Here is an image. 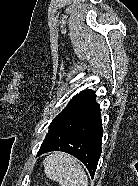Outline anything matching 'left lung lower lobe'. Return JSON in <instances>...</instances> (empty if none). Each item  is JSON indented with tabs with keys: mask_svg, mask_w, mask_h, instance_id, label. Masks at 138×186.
Masks as SVG:
<instances>
[{
	"mask_svg": "<svg viewBox=\"0 0 138 186\" xmlns=\"http://www.w3.org/2000/svg\"><path fill=\"white\" fill-rule=\"evenodd\" d=\"M95 98L92 92L51 125L37 156L49 151L69 153L84 163L93 178L103 135L100 105Z\"/></svg>",
	"mask_w": 138,
	"mask_h": 186,
	"instance_id": "left-lung-lower-lobe-1",
	"label": "left lung lower lobe"
}]
</instances>
